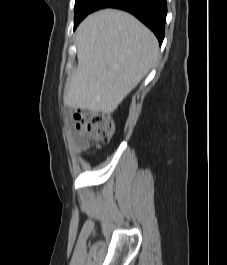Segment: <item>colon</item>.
Wrapping results in <instances>:
<instances>
[{
	"mask_svg": "<svg viewBox=\"0 0 227 265\" xmlns=\"http://www.w3.org/2000/svg\"><path fill=\"white\" fill-rule=\"evenodd\" d=\"M76 129L81 132L78 145L86 148L94 142L107 143L115 133V123L111 115L103 111H89L78 108L72 110Z\"/></svg>",
	"mask_w": 227,
	"mask_h": 265,
	"instance_id": "5ec220e1",
	"label": "colon"
}]
</instances>
